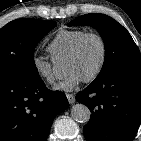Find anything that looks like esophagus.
<instances>
[{"label": "esophagus", "instance_id": "esophagus-1", "mask_svg": "<svg viewBox=\"0 0 141 141\" xmlns=\"http://www.w3.org/2000/svg\"><path fill=\"white\" fill-rule=\"evenodd\" d=\"M66 97H67L68 102H69L70 104L75 103V96H74L73 94H66Z\"/></svg>", "mask_w": 141, "mask_h": 141}]
</instances>
